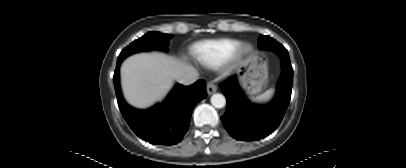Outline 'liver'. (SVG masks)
<instances>
[{
  "instance_id": "6515ba94",
  "label": "liver",
  "mask_w": 406,
  "mask_h": 168,
  "mask_svg": "<svg viewBox=\"0 0 406 168\" xmlns=\"http://www.w3.org/2000/svg\"><path fill=\"white\" fill-rule=\"evenodd\" d=\"M192 67L163 53H140L127 58L121 66V84L128 103L147 108L161 101L173 80Z\"/></svg>"
}]
</instances>
